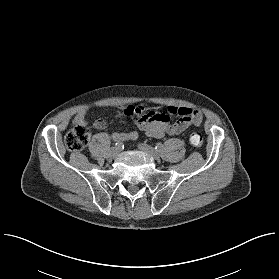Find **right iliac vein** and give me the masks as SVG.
<instances>
[{
	"label": "right iliac vein",
	"mask_w": 279,
	"mask_h": 279,
	"mask_svg": "<svg viewBox=\"0 0 279 279\" xmlns=\"http://www.w3.org/2000/svg\"><path fill=\"white\" fill-rule=\"evenodd\" d=\"M119 152H120V149L118 147L114 146L110 150V156L112 158H116L118 156Z\"/></svg>",
	"instance_id": "right-iliac-vein-1"
}]
</instances>
